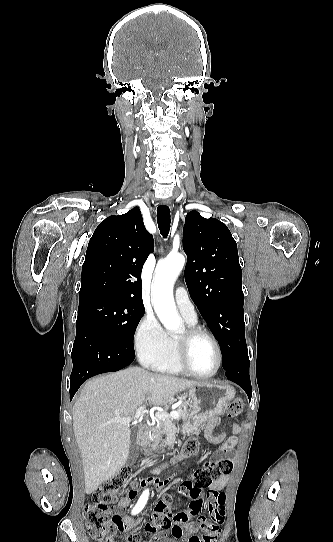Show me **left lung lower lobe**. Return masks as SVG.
Listing matches in <instances>:
<instances>
[{"instance_id":"obj_1","label":"left lung lower lobe","mask_w":333,"mask_h":542,"mask_svg":"<svg viewBox=\"0 0 333 542\" xmlns=\"http://www.w3.org/2000/svg\"><path fill=\"white\" fill-rule=\"evenodd\" d=\"M227 379L238 384L247 393L249 400L252 396V388L249 377V357L248 352L237 357L232 364L225 369Z\"/></svg>"}]
</instances>
